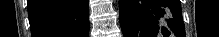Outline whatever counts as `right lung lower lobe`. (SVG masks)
<instances>
[{"instance_id":"right-lung-lower-lobe-1","label":"right lung lower lobe","mask_w":219,"mask_h":37,"mask_svg":"<svg viewBox=\"0 0 219 37\" xmlns=\"http://www.w3.org/2000/svg\"><path fill=\"white\" fill-rule=\"evenodd\" d=\"M88 0H28L32 37H88Z\"/></svg>"}]
</instances>
